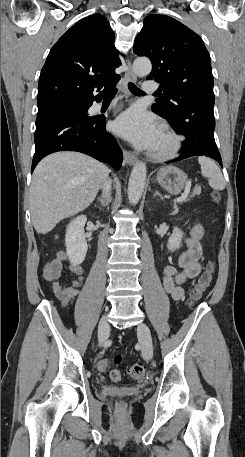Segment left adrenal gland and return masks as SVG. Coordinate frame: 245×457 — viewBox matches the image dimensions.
<instances>
[{
	"mask_svg": "<svg viewBox=\"0 0 245 457\" xmlns=\"http://www.w3.org/2000/svg\"><path fill=\"white\" fill-rule=\"evenodd\" d=\"M156 194H158V196H160V198H163L161 192H159V190H155L154 192V196H156Z\"/></svg>",
	"mask_w": 245,
	"mask_h": 457,
	"instance_id": "left-adrenal-gland-1",
	"label": "left adrenal gland"
}]
</instances>
